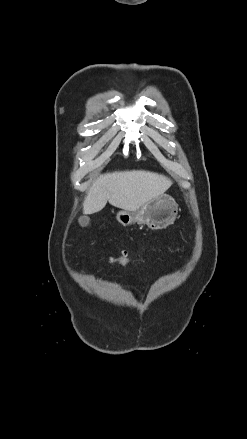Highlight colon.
I'll list each match as a JSON object with an SVG mask.
<instances>
[{
	"label": "colon",
	"mask_w": 247,
	"mask_h": 439,
	"mask_svg": "<svg viewBox=\"0 0 247 439\" xmlns=\"http://www.w3.org/2000/svg\"><path fill=\"white\" fill-rule=\"evenodd\" d=\"M112 261H117L121 264H126L129 261V255L127 252H124L121 256L118 258H111Z\"/></svg>",
	"instance_id": "1"
}]
</instances>
